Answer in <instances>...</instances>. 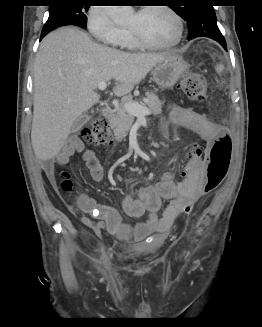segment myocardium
Wrapping results in <instances>:
<instances>
[{
  "label": "myocardium",
  "mask_w": 262,
  "mask_h": 327,
  "mask_svg": "<svg viewBox=\"0 0 262 327\" xmlns=\"http://www.w3.org/2000/svg\"><path fill=\"white\" fill-rule=\"evenodd\" d=\"M149 9H160V10L167 12L174 19V21L176 23V27H177L176 36L173 40H171L170 42H167V43H154V42H151V41L145 39L135 29L129 28L128 31L131 33V35L134 38V40L136 41V43L140 47L147 48V49H154V50L170 49V48L177 46L181 42L183 35H184V23H183L182 17L178 14V12L175 9H173L171 6L165 5V4L143 7L139 11H145V10H149Z\"/></svg>",
  "instance_id": "f54148a6"
}]
</instances>
